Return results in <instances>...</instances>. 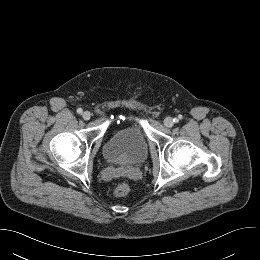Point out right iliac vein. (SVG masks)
Here are the masks:
<instances>
[{
	"label": "right iliac vein",
	"instance_id": "obj_1",
	"mask_svg": "<svg viewBox=\"0 0 260 260\" xmlns=\"http://www.w3.org/2000/svg\"><path fill=\"white\" fill-rule=\"evenodd\" d=\"M82 117L84 120H89L91 117V113L89 111H85L83 112Z\"/></svg>",
	"mask_w": 260,
	"mask_h": 260
}]
</instances>
